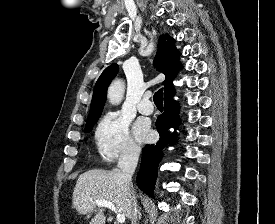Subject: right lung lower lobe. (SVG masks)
<instances>
[{"mask_svg":"<svg viewBox=\"0 0 275 224\" xmlns=\"http://www.w3.org/2000/svg\"><path fill=\"white\" fill-rule=\"evenodd\" d=\"M174 89L171 88L164 93V113L156 121V128L160 139L156 144L146 145L143 149L140 170L137 175L138 187L154 197L153 190L157 177L158 163L164 145L176 142V133L169 135L167 129L178 128V104L173 101Z\"/></svg>","mask_w":275,"mask_h":224,"instance_id":"1","label":"right lung lower lobe"}]
</instances>
